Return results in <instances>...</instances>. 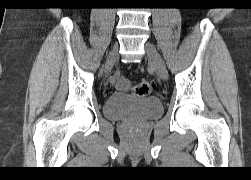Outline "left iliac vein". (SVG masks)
I'll list each match as a JSON object with an SVG mask.
<instances>
[{
    "mask_svg": "<svg viewBox=\"0 0 251 180\" xmlns=\"http://www.w3.org/2000/svg\"><path fill=\"white\" fill-rule=\"evenodd\" d=\"M144 47L151 66L163 80H167L168 71L156 47L150 42H146Z\"/></svg>",
    "mask_w": 251,
    "mask_h": 180,
    "instance_id": "obj_1",
    "label": "left iliac vein"
}]
</instances>
